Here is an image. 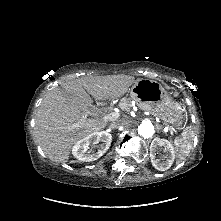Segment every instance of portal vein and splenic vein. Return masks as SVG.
<instances>
[{
    "instance_id": "portal-vein-and-splenic-vein-1",
    "label": "portal vein and splenic vein",
    "mask_w": 221,
    "mask_h": 221,
    "mask_svg": "<svg viewBox=\"0 0 221 221\" xmlns=\"http://www.w3.org/2000/svg\"><path fill=\"white\" fill-rule=\"evenodd\" d=\"M120 114L118 112H111L105 116L102 117V119L104 120H109V121H113L116 120L117 118H119ZM165 132H168V127L164 128Z\"/></svg>"
}]
</instances>
